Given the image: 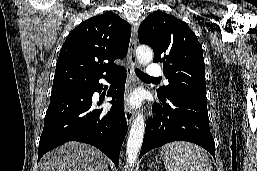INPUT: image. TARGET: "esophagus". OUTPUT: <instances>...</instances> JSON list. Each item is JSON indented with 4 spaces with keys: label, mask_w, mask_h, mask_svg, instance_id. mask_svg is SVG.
Masks as SVG:
<instances>
[{
    "label": "esophagus",
    "mask_w": 257,
    "mask_h": 171,
    "mask_svg": "<svg viewBox=\"0 0 257 171\" xmlns=\"http://www.w3.org/2000/svg\"><path fill=\"white\" fill-rule=\"evenodd\" d=\"M137 33H138V24L134 23L132 25V35H131V41H130L129 53H128L129 66L127 67V74L131 82L135 80L134 69L137 66L136 55H135V51L137 47ZM134 114H135L134 110L127 105L125 107V117L128 124L131 123L132 119L134 118Z\"/></svg>",
    "instance_id": "34e87169"
}]
</instances>
